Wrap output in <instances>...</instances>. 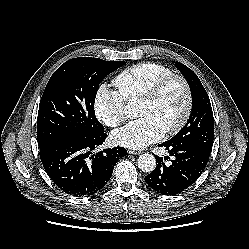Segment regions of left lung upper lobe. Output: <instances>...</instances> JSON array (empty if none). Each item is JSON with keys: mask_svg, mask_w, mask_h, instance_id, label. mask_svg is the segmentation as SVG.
Segmentation results:
<instances>
[{"mask_svg": "<svg viewBox=\"0 0 249 249\" xmlns=\"http://www.w3.org/2000/svg\"><path fill=\"white\" fill-rule=\"evenodd\" d=\"M175 66L190 86L193 106L186 125L168 141L193 145L210 153L214 138V120L208 94L191 69L180 62H175Z\"/></svg>", "mask_w": 249, "mask_h": 249, "instance_id": "left-lung-upper-lobe-1", "label": "left lung upper lobe"}]
</instances>
